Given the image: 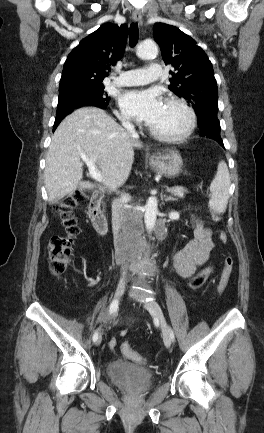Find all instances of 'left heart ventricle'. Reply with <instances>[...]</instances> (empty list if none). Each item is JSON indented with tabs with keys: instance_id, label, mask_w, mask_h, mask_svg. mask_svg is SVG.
<instances>
[{
	"instance_id": "b2bd125f",
	"label": "left heart ventricle",
	"mask_w": 264,
	"mask_h": 433,
	"mask_svg": "<svg viewBox=\"0 0 264 433\" xmlns=\"http://www.w3.org/2000/svg\"><path fill=\"white\" fill-rule=\"evenodd\" d=\"M187 122V114L180 107L164 103L161 114L150 127L160 133L173 135L183 131Z\"/></svg>"
}]
</instances>
